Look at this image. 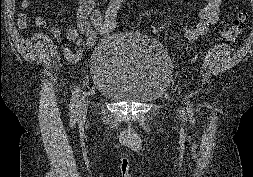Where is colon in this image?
Segmentation results:
<instances>
[{"label": "colon", "instance_id": "colon-1", "mask_svg": "<svg viewBox=\"0 0 253 177\" xmlns=\"http://www.w3.org/2000/svg\"><path fill=\"white\" fill-rule=\"evenodd\" d=\"M127 0H109L103 9L102 36H110L117 27L120 14L125 7ZM247 13L239 12L229 28L222 29L217 36L226 42L235 41L244 31L247 22Z\"/></svg>", "mask_w": 253, "mask_h": 177}]
</instances>
